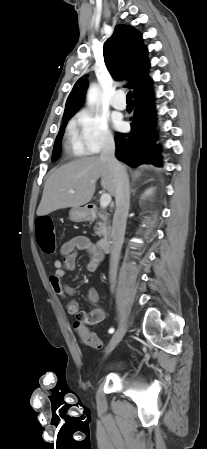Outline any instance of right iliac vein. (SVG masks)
Here are the masks:
<instances>
[{
	"mask_svg": "<svg viewBox=\"0 0 207 449\" xmlns=\"http://www.w3.org/2000/svg\"><path fill=\"white\" fill-rule=\"evenodd\" d=\"M126 332V326L124 324H121L120 327L117 329V331L114 333L113 337L111 338L108 347H107V354H109L115 346L122 340Z\"/></svg>",
	"mask_w": 207,
	"mask_h": 449,
	"instance_id": "63e3f726",
	"label": "right iliac vein"
}]
</instances>
